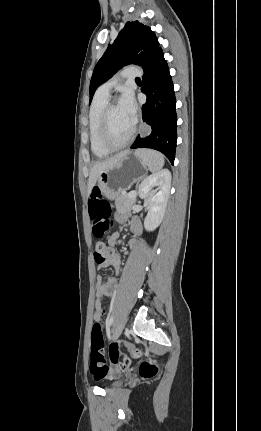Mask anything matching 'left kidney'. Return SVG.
Returning <instances> with one entry per match:
<instances>
[{
    "instance_id": "obj_1",
    "label": "left kidney",
    "mask_w": 261,
    "mask_h": 431,
    "mask_svg": "<svg viewBox=\"0 0 261 431\" xmlns=\"http://www.w3.org/2000/svg\"><path fill=\"white\" fill-rule=\"evenodd\" d=\"M158 187L157 190H152ZM171 187V173L168 169L157 171L145 178L139 186V196L148 201L149 210L144 220L147 231L155 230L162 222L169 191Z\"/></svg>"
}]
</instances>
